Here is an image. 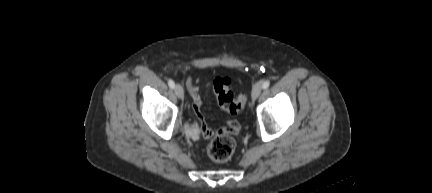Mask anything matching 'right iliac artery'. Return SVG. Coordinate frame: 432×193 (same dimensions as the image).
<instances>
[{
  "instance_id": "1",
  "label": "right iliac artery",
  "mask_w": 432,
  "mask_h": 193,
  "mask_svg": "<svg viewBox=\"0 0 432 193\" xmlns=\"http://www.w3.org/2000/svg\"><path fill=\"white\" fill-rule=\"evenodd\" d=\"M168 85H169V87L172 88V89L175 87V83H174V81L171 80V79L168 80Z\"/></svg>"
}]
</instances>
